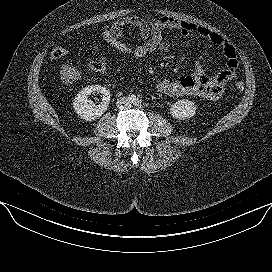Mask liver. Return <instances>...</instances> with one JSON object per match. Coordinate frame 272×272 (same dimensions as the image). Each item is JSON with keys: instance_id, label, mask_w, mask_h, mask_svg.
Returning a JSON list of instances; mask_svg holds the SVG:
<instances>
[{"instance_id": "6515ba94", "label": "liver", "mask_w": 272, "mask_h": 272, "mask_svg": "<svg viewBox=\"0 0 272 272\" xmlns=\"http://www.w3.org/2000/svg\"><path fill=\"white\" fill-rule=\"evenodd\" d=\"M61 74L63 76L65 84L72 83V81L78 80L81 78L80 71L76 70L75 68L69 65H64L62 67Z\"/></svg>"}]
</instances>
